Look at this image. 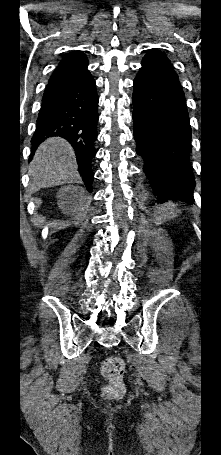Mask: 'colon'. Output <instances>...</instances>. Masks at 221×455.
I'll return each mask as SVG.
<instances>
[{"mask_svg":"<svg viewBox=\"0 0 221 455\" xmlns=\"http://www.w3.org/2000/svg\"><path fill=\"white\" fill-rule=\"evenodd\" d=\"M125 363L118 356L107 357L101 365V373L108 380L103 393L108 398H119L124 393L123 375Z\"/></svg>","mask_w":221,"mask_h":455,"instance_id":"1","label":"colon"}]
</instances>
